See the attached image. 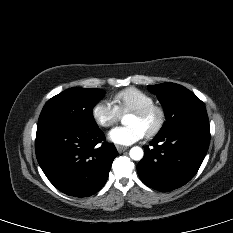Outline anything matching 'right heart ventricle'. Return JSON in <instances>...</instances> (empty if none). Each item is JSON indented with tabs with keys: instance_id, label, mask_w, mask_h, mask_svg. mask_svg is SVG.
I'll return each instance as SVG.
<instances>
[{
	"instance_id": "1",
	"label": "right heart ventricle",
	"mask_w": 233,
	"mask_h": 233,
	"mask_svg": "<svg viewBox=\"0 0 233 233\" xmlns=\"http://www.w3.org/2000/svg\"><path fill=\"white\" fill-rule=\"evenodd\" d=\"M113 103L119 113H125L154 103V98L145 91L131 87L116 93Z\"/></svg>"
}]
</instances>
